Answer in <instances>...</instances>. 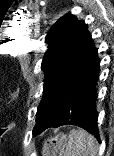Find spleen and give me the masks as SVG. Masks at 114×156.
<instances>
[{"mask_svg": "<svg viewBox=\"0 0 114 156\" xmlns=\"http://www.w3.org/2000/svg\"><path fill=\"white\" fill-rule=\"evenodd\" d=\"M71 142L67 148L66 156H96L99 147L94 137L83 129L71 132Z\"/></svg>", "mask_w": 114, "mask_h": 156, "instance_id": "spleen-1", "label": "spleen"}]
</instances>
